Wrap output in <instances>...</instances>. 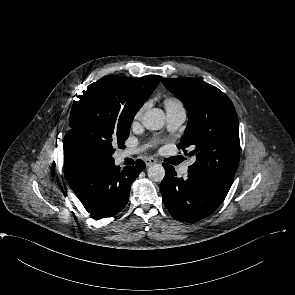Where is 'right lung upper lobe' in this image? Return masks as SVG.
Segmentation results:
<instances>
[{
  "label": "right lung upper lobe",
  "mask_w": 295,
  "mask_h": 295,
  "mask_svg": "<svg viewBox=\"0 0 295 295\" xmlns=\"http://www.w3.org/2000/svg\"><path fill=\"white\" fill-rule=\"evenodd\" d=\"M140 83V91L144 98L147 100L152 94L158 83L161 81V77L157 75H149L142 78H138ZM64 165L68 182H71L80 172V170L87 165L76 153L73 147L64 139Z\"/></svg>",
  "instance_id": "right-lung-upper-lobe-1"
}]
</instances>
